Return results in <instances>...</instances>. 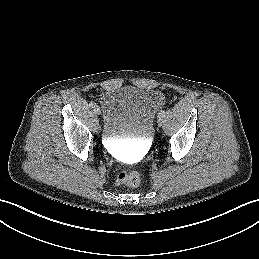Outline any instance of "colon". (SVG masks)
<instances>
[{
    "mask_svg": "<svg viewBox=\"0 0 259 259\" xmlns=\"http://www.w3.org/2000/svg\"><path fill=\"white\" fill-rule=\"evenodd\" d=\"M116 181L119 185L136 187L141 182V176L136 170H121L117 174Z\"/></svg>",
    "mask_w": 259,
    "mask_h": 259,
    "instance_id": "5ec220e1",
    "label": "colon"
}]
</instances>
